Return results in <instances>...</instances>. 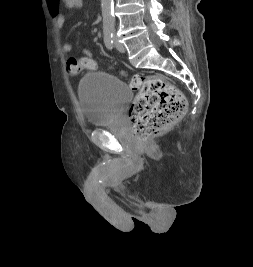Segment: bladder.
Instances as JSON below:
<instances>
[{
  "label": "bladder",
  "mask_w": 253,
  "mask_h": 267,
  "mask_svg": "<svg viewBox=\"0 0 253 267\" xmlns=\"http://www.w3.org/2000/svg\"><path fill=\"white\" fill-rule=\"evenodd\" d=\"M78 95L86 123L91 127H102L117 119L133 93L115 76L89 72L79 83Z\"/></svg>",
  "instance_id": "bladder-1"
}]
</instances>
